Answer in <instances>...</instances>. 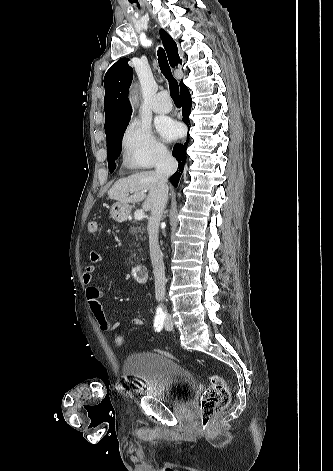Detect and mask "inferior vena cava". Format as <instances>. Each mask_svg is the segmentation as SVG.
I'll return each mask as SVG.
<instances>
[{"instance_id":"1","label":"inferior vena cava","mask_w":333,"mask_h":471,"mask_svg":"<svg viewBox=\"0 0 333 471\" xmlns=\"http://www.w3.org/2000/svg\"><path fill=\"white\" fill-rule=\"evenodd\" d=\"M177 167L178 162L168 151L163 150L159 153L156 176L159 179L160 193L152 207L151 217L148 222L150 259L154 273L155 297L158 302L164 299L166 284L165 266L158 242V231L163 211L168 201V178L175 173Z\"/></svg>"}]
</instances>
